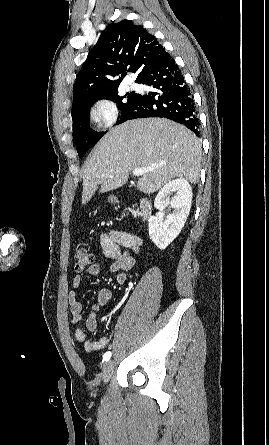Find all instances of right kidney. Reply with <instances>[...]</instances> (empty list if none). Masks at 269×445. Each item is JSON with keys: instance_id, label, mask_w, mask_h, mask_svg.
Here are the masks:
<instances>
[{"instance_id": "1", "label": "right kidney", "mask_w": 269, "mask_h": 445, "mask_svg": "<svg viewBox=\"0 0 269 445\" xmlns=\"http://www.w3.org/2000/svg\"><path fill=\"white\" fill-rule=\"evenodd\" d=\"M176 196L170 200V195ZM192 202V189L186 179L179 178L169 181L157 194L154 206L163 211L170 205L174 211L168 214L163 222L162 216H150L149 235L154 244L161 250L179 235L190 212Z\"/></svg>"}]
</instances>
